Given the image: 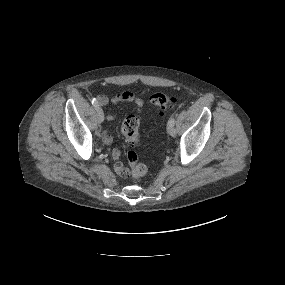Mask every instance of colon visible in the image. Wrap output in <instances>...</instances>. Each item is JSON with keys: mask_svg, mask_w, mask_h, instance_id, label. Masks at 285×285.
Instances as JSON below:
<instances>
[{"mask_svg": "<svg viewBox=\"0 0 285 285\" xmlns=\"http://www.w3.org/2000/svg\"><path fill=\"white\" fill-rule=\"evenodd\" d=\"M150 100L161 110L172 108L176 102L172 96L161 92L152 94ZM121 131L129 141L134 143L138 142L140 138V120L134 115L127 116L122 122ZM127 161L130 165V173L132 176L141 177L147 173V167L144 164L138 163L136 153L129 152L127 154Z\"/></svg>", "mask_w": 285, "mask_h": 285, "instance_id": "obj_1", "label": "colon"}]
</instances>
